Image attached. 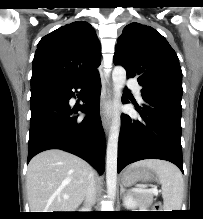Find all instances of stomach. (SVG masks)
<instances>
[{"label":"stomach","mask_w":203,"mask_h":219,"mask_svg":"<svg viewBox=\"0 0 203 219\" xmlns=\"http://www.w3.org/2000/svg\"><path fill=\"white\" fill-rule=\"evenodd\" d=\"M155 179V171L147 167H133L127 169L122 175V182L131 185L136 182H148Z\"/></svg>","instance_id":"obj_1"}]
</instances>
